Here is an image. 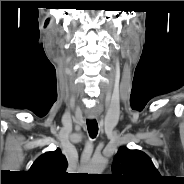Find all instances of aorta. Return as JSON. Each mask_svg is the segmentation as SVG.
<instances>
[{"mask_svg":"<svg viewBox=\"0 0 184 184\" xmlns=\"http://www.w3.org/2000/svg\"><path fill=\"white\" fill-rule=\"evenodd\" d=\"M106 166V161L104 159H95L87 167L89 174H101Z\"/></svg>","mask_w":184,"mask_h":184,"instance_id":"obj_1","label":"aorta"}]
</instances>
